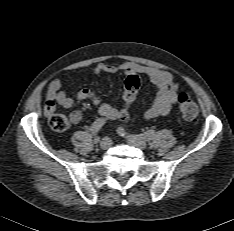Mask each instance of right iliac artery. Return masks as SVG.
Listing matches in <instances>:
<instances>
[{"label": "right iliac artery", "instance_id": "obj_1", "mask_svg": "<svg viewBox=\"0 0 234 231\" xmlns=\"http://www.w3.org/2000/svg\"><path fill=\"white\" fill-rule=\"evenodd\" d=\"M105 124V120L100 118L97 119L91 126L90 131L92 133L93 136H95L96 140H98L97 138V133L99 132V130L102 128V126Z\"/></svg>", "mask_w": 234, "mask_h": 231}]
</instances>
